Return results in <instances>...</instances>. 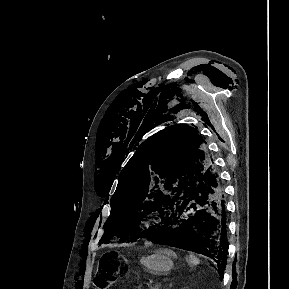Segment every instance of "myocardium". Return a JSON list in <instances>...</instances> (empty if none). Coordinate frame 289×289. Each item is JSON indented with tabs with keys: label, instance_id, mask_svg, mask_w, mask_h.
I'll list each match as a JSON object with an SVG mask.
<instances>
[{
	"label": "myocardium",
	"instance_id": "myocardium-1",
	"mask_svg": "<svg viewBox=\"0 0 289 289\" xmlns=\"http://www.w3.org/2000/svg\"><path fill=\"white\" fill-rule=\"evenodd\" d=\"M157 222V212L148 213L141 221L142 227L149 228Z\"/></svg>",
	"mask_w": 289,
	"mask_h": 289
}]
</instances>
